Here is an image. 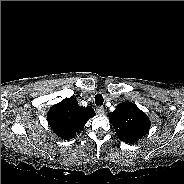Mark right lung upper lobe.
I'll list each match as a JSON object with an SVG mask.
<instances>
[{"mask_svg":"<svg viewBox=\"0 0 184 184\" xmlns=\"http://www.w3.org/2000/svg\"><path fill=\"white\" fill-rule=\"evenodd\" d=\"M95 116L91 107H81L76 99L70 97L51 107L47 114L50 127L58 137L72 139Z\"/></svg>","mask_w":184,"mask_h":184,"instance_id":"obj_1","label":"right lung upper lobe"}]
</instances>
